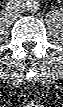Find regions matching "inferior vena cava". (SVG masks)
Segmentation results:
<instances>
[{
	"mask_svg": "<svg viewBox=\"0 0 63 107\" xmlns=\"http://www.w3.org/2000/svg\"><path fill=\"white\" fill-rule=\"evenodd\" d=\"M6 10L11 15H19L24 12V5L20 1H9Z\"/></svg>",
	"mask_w": 63,
	"mask_h": 107,
	"instance_id": "inferior-vena-cava-1",
	"label": "inferior vena cava"
}]
</instances>
